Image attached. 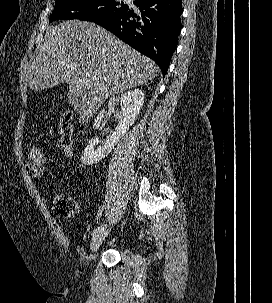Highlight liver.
<instances>
[{
    "instance_id": "6515ba94",
    "label": "liver",
    "mask_w": 272,
    "mask_h": 303,
    "mask_svg": "<svg viewBox=\"0 0 272 303\" xmlns=\"http://www.w3.org/2000/svg\"><path fill=\"white\" fill-rule=\"evenodd\" d=\"M158 72L154 61L106 29L71 20L46 30L44 44L30 64L28 83L33 91L67 83L68 100L84 124L109 96L146 84ZM82 78L87 82H80Z\"/></svg>"
}]
</instances>
